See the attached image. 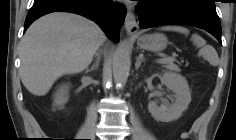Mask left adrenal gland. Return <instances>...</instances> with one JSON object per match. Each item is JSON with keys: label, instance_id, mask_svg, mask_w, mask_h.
<instances>
[{"label": "left adrenal gland", "instance_id": "1", "mask_svg": "<svg viewBox=\"0 0 236 140\" xmlns=\"http://www.w3.org/2000/svg\"><path fill=\"white\" fill-rule=\"evenodd\" d=\"M142 62H144V58L137 57V60H136V63H135V68L138 69L141 66Z\"/></svg>", "mask_w": 236, "mask_h": 140}]
</instances>
